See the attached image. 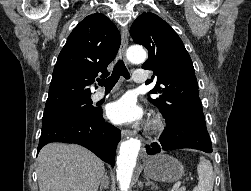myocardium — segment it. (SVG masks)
<instances>
[{"label":"myocardium","mask_w":251,"mask_h":191,"mask_svg":"<svg viewBox=\"0 0 251 191\" xmlns=\"http://www.w3.org/2000/svg\"><path fill=\"white\" fill-rule=\"evenodd\" d=\"M162 127H163V124L158 120L152 121L149 125L150 132H152V133H155V132L161 130Z\"/></svg>","instance_id":"obj_1"}]
</instances>
